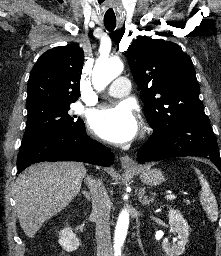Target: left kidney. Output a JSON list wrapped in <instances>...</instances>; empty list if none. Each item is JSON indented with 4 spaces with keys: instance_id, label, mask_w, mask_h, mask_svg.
Instances as JSON below:
<instances>
[{
    "instance_id": "left-kidney-1",
    "label": "left kidney",
    "mask_w": 221,
    "mask_h": 256,
    "mask_svg": "<svg viewBox=\"0 0 221 256\" xmlns=\"http://www.w3.org/2000/svg\"><path fill=\"white\" fill-rule=\"evenodd\" d=\"M170 232L177 233V239L172 246L168 237L163 240L162 247L168 256H179L185 251V245L188 242L189 226L184 217L178 210L170 209L169 211Z\"/></svg>"
}]
</instances>
